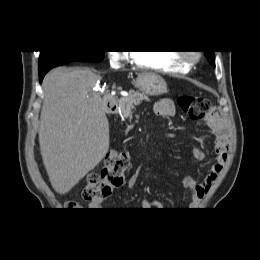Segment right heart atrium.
Segmentation results:
<instances>
[{"label":"right heart atrium","mask_w":260,"mask_h":260,"mask_svg":"<svg viewBox=\"0 0 260 260\" xmlns=\"http://www.w3.org/2000/svg\"><path fill=\"white\" fill-rule=\"evenodd\" d=\"M127 58V55L122 52L113 51L109 53L110 64L114 67H119Z\"/></svg>","instance_id":"1"}]
</instances>
